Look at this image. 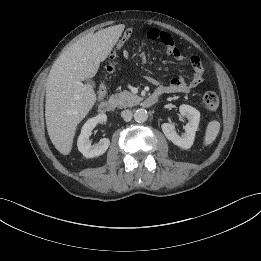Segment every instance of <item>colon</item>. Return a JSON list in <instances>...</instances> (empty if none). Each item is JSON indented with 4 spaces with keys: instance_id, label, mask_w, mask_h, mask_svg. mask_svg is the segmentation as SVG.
<instances>
[{
    "instance_id": "colon-1",
    "label": "colon",
    "mask_w": 261,
    "mask_h": 261,
    "mask_svg": "<svg viewBox=\"0 0 261 261\" xmlns=\"http://www.w3.org/2000/svg\"><path fill=\"white\" fill-rule=\"evenodd\" d=\"M133 36V31L131 29H126L123 32V36L119 38V41L116 45V50L118 52H121L123 50V47H125L129 42L130 39ZM114 59L116 61H119L121 59V56L119 54H116L114 56ZM109 71L115 70V63L112 61L108 67ZM203 105L210 111H214L219 106V97L215 92L208 91L206 92L202 97Z\"/></svg>"
}]
</instances>
